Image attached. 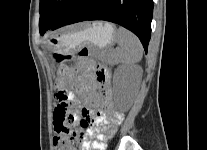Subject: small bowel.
<instances>
[{
    "mask_svg": "<svg viewBox=\"0 0 207 150\" xmlns=\"http://www.w3.org/2000/svg\"><path fill=\"white\" fill-rule=\"evenodd\" d=\"M78 68L82 72L81 76L67 72V78H70L77 95L84 101L81 116L87 112L95 123V127L86 133L87 140L83 143L82 150H105L106 140L114 135L123 120V114L114 110L109 71L88 58H81ZM67 78L61 82V87L66 84ZM70 112L72 120L76 119L78 111ZM95 135L96 139L92 141Z\"/></svg>",
    "mask_w": 207,
    "mask_h": 150,
    "instance_id": "obj_1",
    "label": "small bowel"
}]
</instances>
